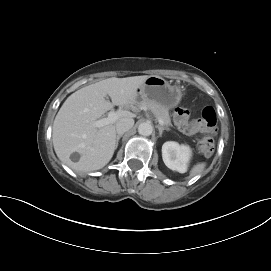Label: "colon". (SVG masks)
Instances as JSON below:
<instances>
[{"label": "colon", "mask_w": 271, "mask_h": 271, "mask_svg": "<svg viewBox=\"0 0 271 271\" xmlns=\"http://www.w3.org/2000/svg\"><path fill=\"white\" fill-rule=\"evenodd\" d=\"M191 110L188 107H180L174 113L176 125L186 134L200 133L198 149L204 155H210L214 150V140L211 136L216 131L217 115L212 107L203 109L201 117L197 120L190 118Z\"/></svg>", "instance_id": "1"}]
</instances>
